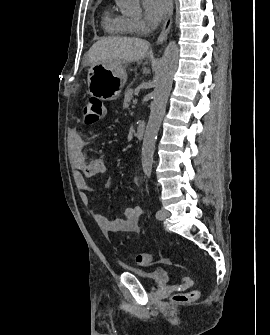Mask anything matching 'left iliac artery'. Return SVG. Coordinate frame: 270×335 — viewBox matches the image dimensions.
<instances>
[{
  "label": "left iliac artery",
  "instance_id": "44dca946",
  "mask_svg": "<svg viewBox=\"0 0 270 335\" xmlns=\"http://www.w3.org/2000/svg\"><path fill=\"white\" fill-rule=\"evenodd\" d=\"M161 212L160 210L156 212V217L158 218L160 216Z\"/></svg>",
  "mask_w": 270,
  "mask_h": 335
}]
</instances>
